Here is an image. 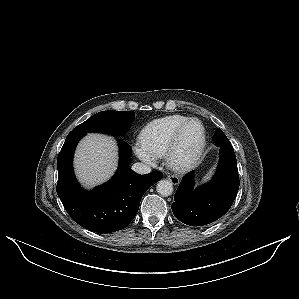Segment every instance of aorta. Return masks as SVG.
<instances>
[{
  "mask_svg": "<svg viewBox=\"0 0 299 299\" xmlns=\"http://www.w3.org/2000/svg\"><path fill=\"white\" fill-rule=\"evenodd\" d=\"M156 190L161 196H170L173 193V184L168 180H160L156 185Z\"/></svg>",
  "mask_w": 299,
  "mask_h": 299,
  "instance_id": "762f6f07",
  "label": "aorta"
}]
</instances>
